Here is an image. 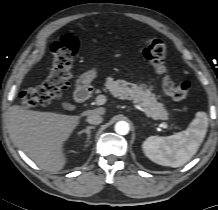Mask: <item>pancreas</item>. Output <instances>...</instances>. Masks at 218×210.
<instances>
[{
    "label": "pancreas",
    "instance_id": "cf45deb5",
    "mask_svg": "<svg viewBox=\"0 0 218 210\" xmlns=\"http://www.w3.org/2000/svg\"><path fill=\"white\" fill-rule=\"evenodd\" d=\"M105 86L113 96L122 100H130L143 107L144 112L148 117L155 120H166L168 118V112L164 105L157 102L156 96L145 84H134L124 80L108 78Z\"/></svg>",
    "mask_w": 218,
    "mask_h": 210
}]
</instances>
